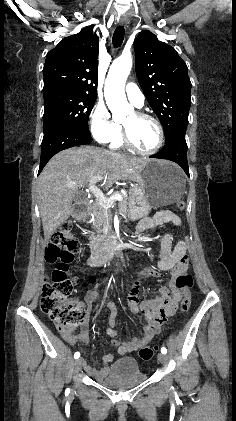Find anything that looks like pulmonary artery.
<instances>
[{
    "label": "pulmonary artery",
    "mask_w": 236,
    "mask_h": 421,
    "mask_svg": "<svg viewBox=\"0 0 236 421\" xmlns=\"http://www.w3.org/2000/svg\"><path fill=\"white\" fill-rule=\"evenodd\" d=\"M126 94L129 101L136 107L142 108L145 104V98L141 90L133 84H127Z\"/></svg>",
    "instance_id": "e3ab8cb5"
}]
</instances>
